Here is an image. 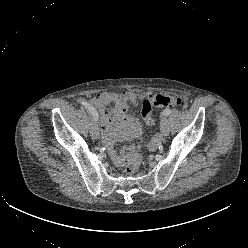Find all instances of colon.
I'll list each match as a JSON object with an SVG mask.
<instances>
[{"label": "colon", "instance_id": "obj_1", "mask_svg": "<svg viewBox=\"0 0 248 248\" xmlns=\"http://www.w3.org/2000/svg\"><path fill=\"white\" fill-rule=\"evenodd\" d=\"M155 106L185 108L186 102L182 98L165 95H153L147 97L142 106V118L149 125L154 123L153 108ZM140 161L141 158L138 155L128 159L125 166V173L128 175L134 174L139 168Z\"/></svg>", "mask_w": 248, "mask_h": 248}]
</instances>
